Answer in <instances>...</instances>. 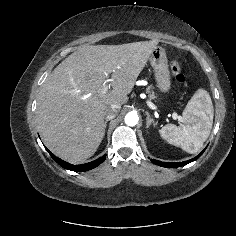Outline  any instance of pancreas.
Here are the masks:
<instances>
[{"label": "pancreas", "mask_w": 236, "mask_h": 236, "mask_svg": "<svg viewBox=\"0 0 236 236\" xmlns=\"http://www.w3.org/2000/svg\"><path fill=\"white\" fill-rule=\"evenodd\" d=\"M150 88H151V86H149V87L147 88V93H149L150 98L154 99V98H156V96H155L154 92H151V91H150Z\"/></svg>", "instance_id": "obj_1"}]
</instances>
